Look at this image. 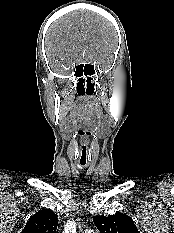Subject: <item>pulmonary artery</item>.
<instances>
[{"label": "pulmonary artery", "instance_id": "e3ab8cb5", "mask_svg": "<svg viewBox=\"0 0 174 233\" xmlns=\"http://www.w3.org/2000/svg\"><path fill=\"white\" fill-rule=\"evenodd\" d=\"M85 233H95L92 230H86Z\"/></svg>", "mask_w": 174, "mask_h": 233}]
</instances>
